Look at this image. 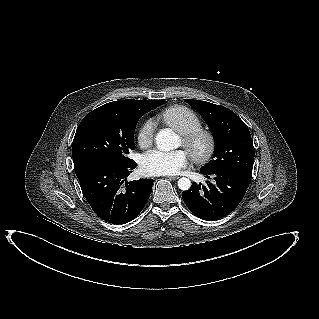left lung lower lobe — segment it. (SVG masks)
<instances>
[{
  "mask_svg": "<svg viewBox=\"0 0 319 319\" xmlns=\"http://www.w3.org/2000/svg\"><path fill=\"white\" fill-rule=\"evenodd\" d=\"M207 185L193 183L191 188L182 192V198L190 211L199 218L209 221L230 214L241 202L251 178L231 170L208 172L200 170Z\"/></svg>",
  "mask_w": 319,
  "mask_h": 319,
  "instance_id": "1",
  "label": "left lung lower lobe"
}]
</instances>
